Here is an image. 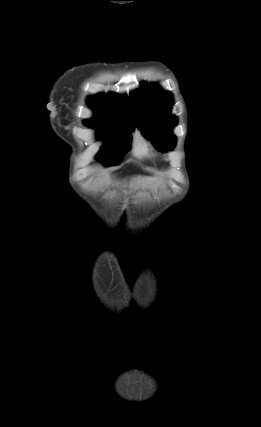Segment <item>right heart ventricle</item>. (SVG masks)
<instances>
[{"mask_svg": "<svg viewBox=\"0 0 261 427\" xmlns=\"http://www.w3.org/2000/svg\"><path fill=\"white\" fill-rule=\"evenodd\" d=\"M132 154L141 160L151 159L154 156L150 142L139 131H136L132 138Z\"/></svg>", "mask_w": 261, "mask_h": 427, "instance_id": "1", "label": "right heart ventricle"}]
</instances>
